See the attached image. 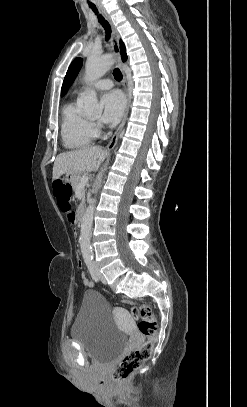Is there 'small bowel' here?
<instances>
[{
    "label": "small bowel",
    "instance_id": "1",
    "mask_svg": "<svg viewBox=\"0 0 247 407\" xmlns=\"http://www.w3.org/2000/svg\"><path fill=\"white\" fill-rule=\"evenodd\" d=\"M66 217H67V220H68L70 223H72V224L75 223V221H76V215H75V212H74V211H72L69 215H66ZM81 277H82V280H83L84 285H86V286H88V287L93 286V282L88 278V276L86 275V273H82Z\"/></svg>",
    "mask_w": 247,
    "mask_h": 407
}]
</instances>
